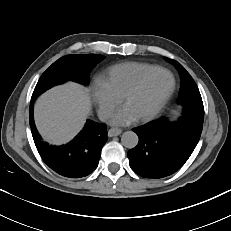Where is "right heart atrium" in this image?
<instances>
[{
	"mask_svg": "<svg viewBox=\"0 0 231 231\" xmlns=\"http://www.w3.org/2000/svg\"><path fill=\"white\" fill-rule=\"evenodd\" d=\"M93 97L99 115L107 119L111 116L121 99L115 96L102 79H97L93 84Z\"/></svg>",
	"mask_w": 231,
	"mask_h": 231,
	"instance_id": "obj_1",
	"label": "right heart atrium"
}]
</instances>
